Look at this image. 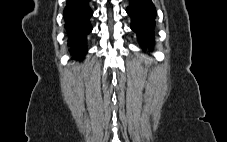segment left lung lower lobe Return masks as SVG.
Wrapping results in <instances>:
<instances>
[{"label":"left lung lower lobe","instance_id":"obj_1","mask_svg":"<svg viewBox=\"0 0 227 142\" xmlns=\"http://www.w3.org/2000/svg\"><path fill=\"white\" fill-rule=\"evenodd\" d=\"M126 12L131 17V29L137 33L138 40L152 46L156 10L151 0H130Z\"/></svg>","mask_w":227,"mask_h":142}]
</instances>
